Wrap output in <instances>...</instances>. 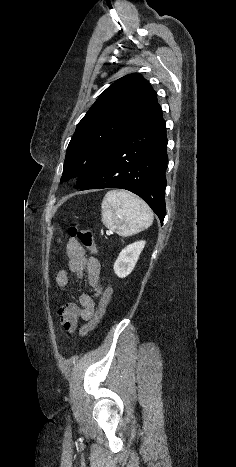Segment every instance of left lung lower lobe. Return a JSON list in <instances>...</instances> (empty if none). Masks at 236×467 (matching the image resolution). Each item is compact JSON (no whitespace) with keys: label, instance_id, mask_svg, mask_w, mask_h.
<instances>
[{"label":"left lung lower lobe","instance_id":"1","mask_svg":"<svg viewBox=\"0 0 236 467\" xmlns=\"http://www.w3.org/2000/svg\"><path fill=\"white\" fill-rule=\"evenodd\" d=\"M166 123L158 104L125 132L80 190L122 188L140 196L163 223L167 168Z\"/></svg>","mask_w":236,"mask_h":467}]
</instances>
